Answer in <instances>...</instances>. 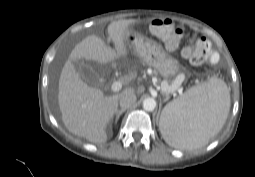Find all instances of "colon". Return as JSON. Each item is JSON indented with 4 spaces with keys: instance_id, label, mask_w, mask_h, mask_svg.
Instances as JSON below:
<instances>
[{
    "instance_id": "obj_1",
    "label": "colon",
    "mask_w": 255,
    "mask_h": 177,
    "mask_svg": "<svg viewBox=\"0 0 255 177\" xmlns=\"http://www.w3.org/2000/svg\"><path fill=\"white\" fill-rule=\"evenodd\" d=\"M151 30L158 38L164 41L166 47L170 50L177 48L183 34V31L168 19L153 21ZM182 55L194 65H201L215 59L211 45L206 39L190 41L188 46L182 50Z\"/></svg>"
}]
</instances>
